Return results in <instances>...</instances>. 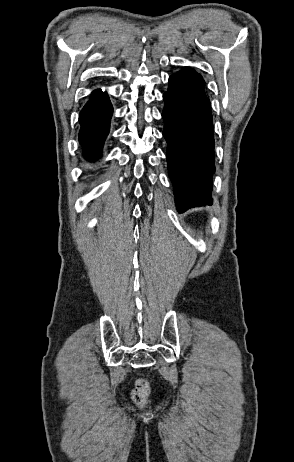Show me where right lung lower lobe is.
<instances>
[{
	"mask_svg": "<svg viewBox=\"0 0 294 462\" xmlns=\"http://www.w3.org/2000/svg\"><path fill=\"white\" fill-rule=\"evenodd\" d=\"M113 107L102 90H94L90 101L86 103L79 115L81 129L79 142L83 147V156L95 160L101 156V148L109 133Z\"/></svg>",
	"mask_w": 294,
	"mask_h": 462,
	"instance_id": "right-lung-lower-lobe-1",
	"label": "right lung lower lobe"
}]
</instances>
